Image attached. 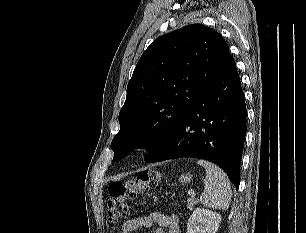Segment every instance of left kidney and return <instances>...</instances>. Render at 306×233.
Returning a JSON list of instances; mask_svg holds the SVG:
<instances>
[{
    "mask_svg": "<svg viewBox=\"0 0 306 233\" xmlns=\"http://www.w3.org/2000/svg\"><path fill=\"white\" fill-rule=\"evenodd\" d=\"M221 215L205 208H196L187 223V233H216Z\"/></svg>",
    "mask_w": 306,
    "mask_h": 233,
    "instance_id": "1",
    "label": "left kidney"
}]
</instances>
